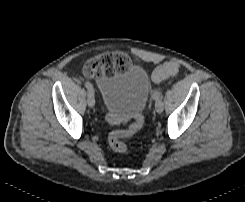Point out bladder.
<instances>
[{"label":"bladder","instance_id":"bladder-1","mask_svg":"<svg viewBox=\"0 0 245 202\" xmlns=\"http://www.w3.org/2000/svg\"><path fill=\"white\" fill-rule=\"evenodd\" d=\"M97 86L102 108L106 112L139 113L146 108L149 101L150 82L140 66H134L113 77H100Z\"/></svg>","mask_w":245,"mask_h":202}]
</instances>
